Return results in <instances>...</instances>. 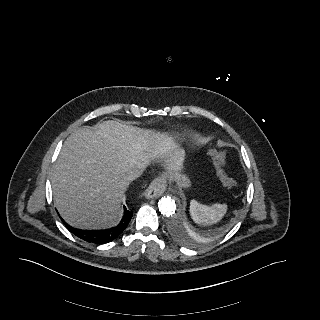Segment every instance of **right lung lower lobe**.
Listing matches in <instances>:
<instances>
[{"instance_id": "obj_1", "label": "right lung lower lobe", "mask_w": 320, "mask_h": 320, "mask_svg": "<svg viewBox=\"0 0 320 320\" xmlns=\"http://www.w3.org/2000/svg\"><path fill=\"white\" fill-rule=\"evenodd\" d=\"M132 215L133 212L128 211L125 208L124 216L121 222L116 227L107 230H81L73 228L72 226L68 225L65 221H62L67 227V229L77 237L90 243L105 244L117 238L124 231V229L129 224Z\"/></svg>"}]
</instances>
